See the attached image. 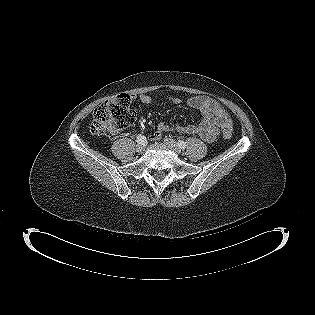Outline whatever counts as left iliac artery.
Listing matches in <instances>:
<instances>
[{"mask_svg":"<svg viewBox=\"0 0 315 315\" xmlns=\"http://www.w3.org/2000/svg\"><path fill=\"white\" fill-rule=\"evenodd\" d=\"M178 146L181 148V149H185L186 148V143L182 140H179L178 141Z\"/></svg>","mask_w":315,"mask_h":315,"instance_id":"left-iliac-artery-1","label":"left iliac artery"}]
</instances>
